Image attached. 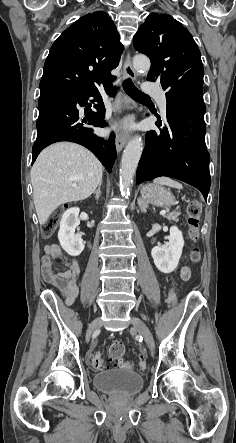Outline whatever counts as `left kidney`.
Returning a JSON list of instances; mask_svg holds the SVG:
<instances>
[{
	"instance_id": "5707ae66",
	"label": "left kidney",
	"mask_w": 236,
	"mask_h": 443,
	"mask_svg": "<svg viewBox=\"0 0 236 443\" xmlns=\"http://www.w3.org/2000/svg\"><path fill=\"white\" fill-rule=\"evenodd\" d=\"M184 239L182 232L176 227L170 228L169 243L167 246H155L151 250V255L157 269L162 273H171L178 266Z\"/></svg>"
}]
</instances>
